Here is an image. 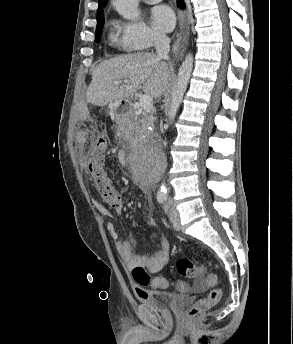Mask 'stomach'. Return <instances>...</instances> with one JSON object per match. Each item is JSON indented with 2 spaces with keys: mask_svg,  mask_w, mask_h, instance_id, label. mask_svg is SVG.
<instances>
[{
  "mask_svg": "<svg viewBox=\"0 0 293 344\" xmlns=\"http://www.w3.org/2000/svg\"><path fill=\"white\" fill-rule=\"evenodd\" d=\"M121 104H122L121 101H115V102L111 103L109 105V108H110L111 112L115 113L118 110V108L120 107Z\"/></svg>",
  "mask_w": 293,
  "mask_h": 344,
  "instance_id": "stomach-1",
  "label": "stomach"
}]
</instances>
